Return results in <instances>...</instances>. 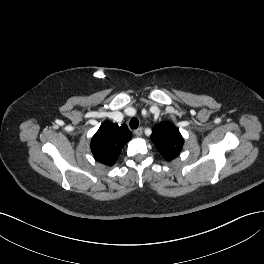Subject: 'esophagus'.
Listing matches in <instances>:
<instances>
[{
  "mask_svg": "<svg viewBox=\"0 0 264 264\" xmlns=\"http://www.w3.org/2000/svg\"><path fill=\"white\" fill-rule=\"evenodd\" d=\"M143 133V128L142 127H139L137 129L134 130V134L138 137H140Z\"/></svg>",
  "mask_w": 264,
  "mask_h": 264,
  "instance_id": "1",
  "label": "esophagus"
}]
</instances>
